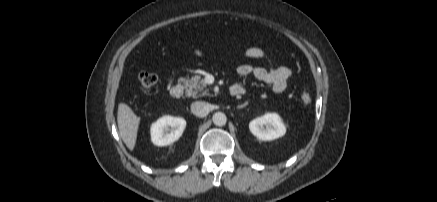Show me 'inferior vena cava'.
Masks as SVG:
<instances>
[{"instance_id": "602c4592", "label": "inferior vena cava", "mask_w": 437, "mask_h": 202, "mask_svg": "<svg viewBox=\"0 0 437 202\" xmlns=\"http://www.w3.org/2000/svg\"><path fill=\"white\" fill-rule=\"evenodd\" d=\"M191 112L198 117H205L210 112V105L203 101H196L191 104Z\"/></svg>"}]
</instances>
